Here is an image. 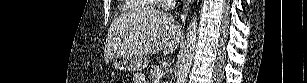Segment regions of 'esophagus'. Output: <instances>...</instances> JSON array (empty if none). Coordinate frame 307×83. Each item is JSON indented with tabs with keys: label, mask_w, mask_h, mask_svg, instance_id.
I'll list each match as a JSON object with an SVG mask.
<instances>
[{
	"label": "esophagus",
	"mask_w": 307,
	"mask_h": 83,
	"mask_svg": "<svg viewBox=\"0 0 307 83\" xmlns=\"http://www.w3.org/2000/svg\"><path fill=\"white\" fill-rule=\"evenodd\" d=\"M193 2V0H186L184 1L183 5V18H186L190 9V5Z\"/></svg>",
	"instance_id": "1"
}]
</instances>
